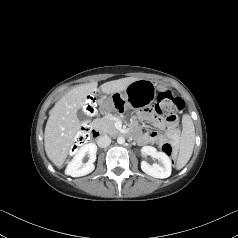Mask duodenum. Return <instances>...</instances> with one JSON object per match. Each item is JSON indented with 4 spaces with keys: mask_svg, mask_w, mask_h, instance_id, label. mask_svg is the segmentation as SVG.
<instances>
[{
    "mask_svg": "<svg viewBox=\"0 0 238 238\" xmlns=\"http://www.w3.org/2000/svg\"><path fill=\"white\" fill-rule=\"evenodd\" d=\"M91 135L95 138L99 137L100 136V132L95 129V128H92L91 131H90Z\"/></svg>",
    "mask_w": 238,
    "mask_h": 238,
    "instance_id": "duodenum-1",
    "label": "duodenum"
}]
</instances>
